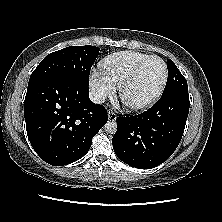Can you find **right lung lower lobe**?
I'll use <instances>...</instances> for the list:
<instances>
[{
  "label": "right lung lower lobe",
  "instance_id": "1",
  "mask_svg": "<svg viewBox=\"0 0 222 222\" xmlns=\"http://www.w3.org/2000/svg\"><path fill=\"white\" fill-rule=\"evenodd\" d=\"M24 116L33 149L54 166L82 158L108 119L106 109L89 100L87 84L61 78L28 86Z\"/></svg>",
  "mask_w": 222,
  "mask_h": 222
}]
</instances>
